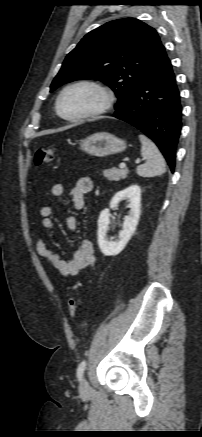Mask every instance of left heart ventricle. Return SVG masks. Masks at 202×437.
Here are the masks:
<instances>
[{
  "label": "left heart ventricle",
  "instance_id": "left-heart-ventricle-1",
  "mask_svg": "<svg viewBox=\"0 0 202 437\" xmlns=\"http://www.w3.org/2000/svg\"><path fill=\"white\" fill-rule=\"evenodd\" d=\"M101 101V95L96 90L82 86L68 91L60 106L64 115L74 117L97 108Z\"/></svg>",
  "mask_w": 202,
  "mask_h": 437
}]
</instances>
